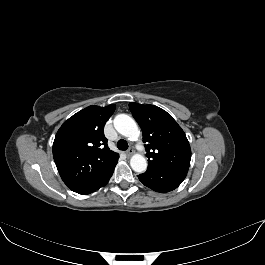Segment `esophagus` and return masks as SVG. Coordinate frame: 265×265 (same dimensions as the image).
Here are the masks:
<instances>
[{
    "instance_id": "34e87169",
    "label": "esophagus",
    "mask_w": 265,
    "mask_h": 265,
    "mask_svg": "<svg viewBox=\"0 0 265 265\" xmlns=\"http://www.w3.org/2000/svg\"><path fill=\"white\" fill-rule=\"evenodd\" d=\"M133 152H134L133 148L130 147V148L127 150L126 153H127L128 156H131V155L133 154Z\"/></svg>"
}]
</instances>
